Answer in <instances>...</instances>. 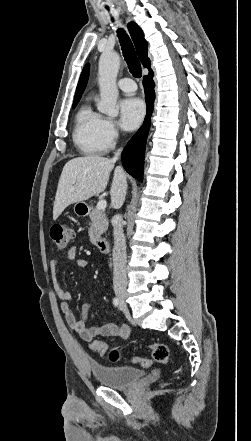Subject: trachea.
<instances>
[{"mask_svg":"<svg viewBox=\"0 0 251 441\" xmlns=\"http://www.w3.org/2000/svg\"><path fill=\"white\" fill-rule=\"evenodd\" d=\"M117 36L130 72L134 77L140 78L142 75L141 64L137 58L133 43L127 33L121 28L117 30Z\"/></svg>","mask_w":251,"mask_h":441,"instance_id":"trachea-1","label":"trachea"}]
</instances>
